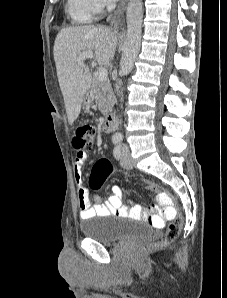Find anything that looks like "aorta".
Instances as JSON below:
<instances>
[{"mask_svg":"<svg viewBox=\"0 0 227 298\" xmlns=\"http://www.w3.org/2000/svg\"><path fill=\"white\" fill-rule=\"evenodd\" d=\"M127 34L123 45V53L120 60V73L128 75L134 66L135 59L141 46L143 2L142 0H129L127 12ZM116 137H122L116 133Z\"/></svg>","mask_w":227,"mask_h":298,"instance_id":"obj_1","label":"aorta"}]
</instances>
